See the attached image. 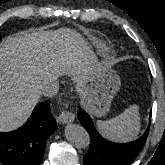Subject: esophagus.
Segmentation results:
<instances>
[{"label":"esophagus","mask_w":165,"mask_h":165,"mask_svg":"<svg viewBox=\"0 0 165 165\" xmlns=\"http://www.w3.org/2000/svg\"><path fill=\"white\" fill-rule=\"evenodd\" d=\"M75 119V115L69 111H62L61 114L58 117V120L65 124V123H71Z\"/></svg>","instance_id":"34e87169"}]
</instances>
